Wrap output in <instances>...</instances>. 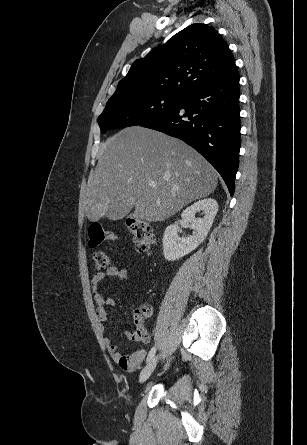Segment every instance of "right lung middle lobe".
Masks as SVG:
<instances>
[{"label":"right lung middle lobe","mask_w":307,"mask_h":445,"mask_svg":"<svg viewBox=\"0 0 307 445\" xmlns=\"http://www.w3.org/2000/svg\"><path fill=\"white\" fill-rule=\"evenodd\" d=\"M184 96L165 94L118 95L111 97L98 117L101 133L142 125L157 119L180 104Z\"/></svg>","instance_id":"right-lung-middle-lobe-1"}]
</instances>
